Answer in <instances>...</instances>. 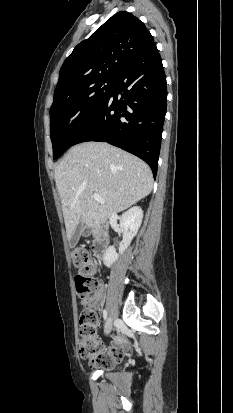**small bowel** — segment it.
I'll use <instances>...</instances> for the list:
<instances>
[{
  "label": "small bowel",
  "mask_w": 233,
  "mask_h": 413,
  "mask_svg": "<svg viewBox=\"0 0 233 413\" xmlns=\"http://www.w3.org/2000/svg\"><path fill=\"white\" fill-rule=\"evenodd\" d=\"M104 295L105 287L102 283H98V286L94 293L91 296L82 298L81 304L85 308H99L104 299ZM125 347V340L120 336H114L109 347H105L100 344V355L115 357L117 354H120L122 356Z\"/></svg>",
  "instance_id": "c3829d8e"
}]
</instances>
